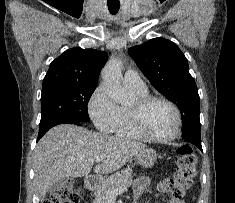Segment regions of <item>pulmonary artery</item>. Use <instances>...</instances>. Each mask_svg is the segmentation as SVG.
Wrapping results in <instances>:
<instances>
[{
	"label": "pulmonary artery",
	"mask_w": 235,
	"mask_h": 203,
	"mask_svg": "<svg viewBox=\"0 0 235 203\" xmlns=\"http://www.w3.org/2000/svg\"><path fill=\"white\" fill-rule=\"evenodd\" d=\"M123 82L126 86L140 90L145 91L147 90V87L142 80L141 76L134 70H127L123 77Z\"/></svg>",
	"instance_id": "e3ab8cb5"
}]
</instances>
